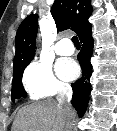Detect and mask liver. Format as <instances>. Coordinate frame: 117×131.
I'll use <instances>...</instances> for the list:
<instances>
[{
  "instance_id": "6515ba94",
  "label": "liver",
  "mask_w": 117,
  "mask_h": 131,
  "mask_svg": "<svg viewBox=\"0 0 117 131\" xmlns=\"http://www.w3.org/2000/svg\"><path fill=\"white\" fill-rule=\"evenodd\" d=\"M68 117L64 107L55 100H45L21 108L12 131H67Z\"/></svg>"
}]
</instances>
